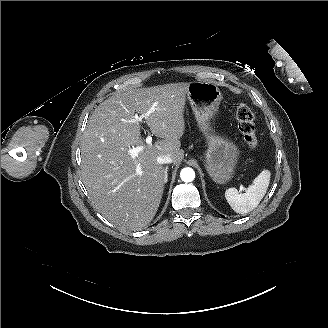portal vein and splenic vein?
<instances>
[{
    "instance_id": "obj_1",
    "label": "portal vein and splenic vein",
    "mask_w": 328,
    "mask_h": 328,
    "mask_svg": "<svg viewBox=\"0 0 328 328\" xmlns=\"http://www.w3.org/2000/svg\"><path fill=\"white\" fill-rule=\"evenodd\" d=\"M134 122H139L141 124H144V122H143V116L134 115L133 116V119L129 120V123H134ZM145 140H146V143L147 144H151L152 143V136H151L150 133L147 134V137H146ZM139 150L140 149L138 147H134V148L129 149L128 150V153L131 154V155L136 156L137 153L139 152ZM134 175L135 176L138 175L139 177H143V173H142V171L139 168L136 169ZM242 191H244V188H241L240 189V192H242Z\"/></svg>"
}]
</instances>
